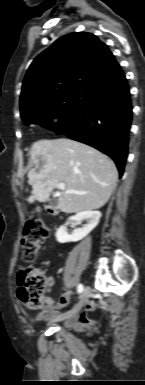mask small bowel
<instances>
[{
  "label": "small bowel",
  "instance_id": "1",
  "mask_svg": "<svg viewBox=\"0 0 145 385\" xmlns=\"http://www.w3.org/2000/svg\"><path fill=\"white\" fill-rule=\"evenodd\" d=\"M47 279L49 282L48 290H50L51 287L54 285V279L51 276H48ZM71 295V291H66L56 301L46 295L44 298L45 304L41 312L38 313V315L36 316V318L39 320L48 319L52 321H59L60 317L62 316L60 310L69 303ZM78 304L79 302L74 306L72 310H74L78 306ZM97 306L98 302L96 301L84 304L75 314L68 317L66 325L75 331H82L84 329H94L99 324V321L96 319H91L88 316V313L94 310Z\"/></svg>",
  "mask_w": 145,
  "mask_h": 385
}]
</instances>
